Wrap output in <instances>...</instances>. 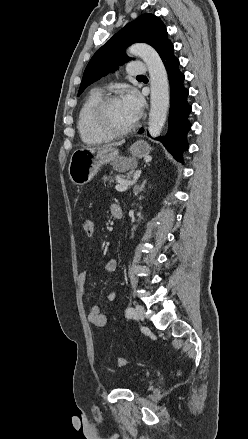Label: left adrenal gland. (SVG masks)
I'll return each mask as SVG.
<instances>
[{
  "mask_svg": "<svg viewBox=\"0 0 248 439\" xmlns=\"http://www.w3.org/2000/svg\"><path fill=\"white\" fill-rule=\"evenodd\" d=\"M145 183H146V180H144L143 183L141 184V186H140V188H139V191H140V192L143 191L144 186H145Z\"/></svg>",
  "mask_w": 248,
  "mask_h": 439,
  "instance_id": "a2214340",
  "label": "left adrenal gland"
}]
</instances>
